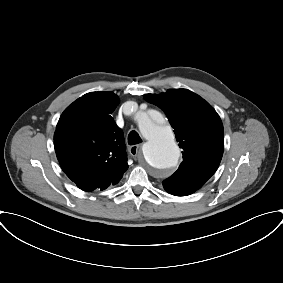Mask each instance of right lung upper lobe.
Here are the masks:
<instances>
[{"mask_svg": "<svg viewBox=\"0 0 283 283\" xmlns=\"http://www.w3.org/2000/svg\"><path fill=\"white\" fill-rule=\"evenodd\" d=\"M118 104L113 92H91L62 113L54 147L66 175L84 191L117 184L128 169L123 131L110 115Z\"/></svg>", "mask_w": 283, "mask_h": 283, "instance_id": "1", "label": "right lung upper lobe"}]
</instances>
